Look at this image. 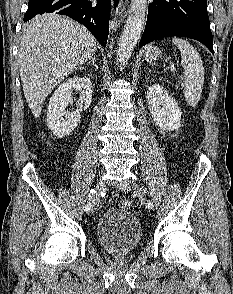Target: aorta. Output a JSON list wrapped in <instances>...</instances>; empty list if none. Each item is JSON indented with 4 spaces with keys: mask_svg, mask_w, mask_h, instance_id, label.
<instances>
[{
    "mask_svg": "<svg viewBox=\"0 0 233 294\" xmlns=\"http://www.w3.org/2000/svg\"><path fill=\"white\" fill-rule=\"evenodd\" d=\"M147 0H131L128 18L118 42L117 62L125 65L141 37L146 21Z\"/></svg>",
    "mask_w": 233,
    "mask_h": 294,
    "instance_id": "obj_1",
    "label": "aorta"
}]
</instances>
